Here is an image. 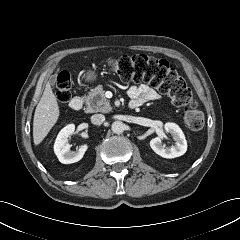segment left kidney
<instances>
[{
  "label": "left kidney",
  "instance_id": "left-kidney-1",
  "mask_svg": "<svg viewBox=\"0 0 240 240\" xmlns=\"http://www.w3.org/2000/svg\"><path fill=\"white\" fill-rule=\"evenodd\" d=\"M164 130L173 136L175 145L165 147L162 144L163 134H161L158 137L151 139L150 147L152 150L163 158L170 159L182 156L187 151V141L180 127L175 123L168 122L164 125Z\"/></svg>",
  "mask_w": 240,
  "mask_h": 240
}]
</instances>
